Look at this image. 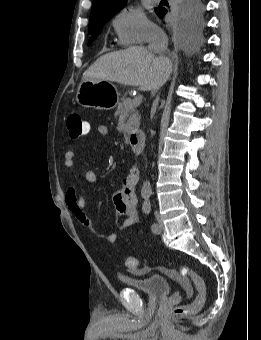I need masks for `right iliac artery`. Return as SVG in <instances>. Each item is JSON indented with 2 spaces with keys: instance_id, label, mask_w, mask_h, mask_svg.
Masks as SVG:
<instances>
[{
  "instance_id": "right-iliac-artery-1",
  "label": "right iliac artery",
  "mask_w": 261,
  "mask_h": 340,
  "mask_svg": "<svg viewBox=\"0 0 261 340\" xmlns=\"http://www.w3.org/2000/svg\"><path fill=\"white\" fill-rule=\"evenodd\" d=\"M142 196H143V198H147L148 195L147 194H143Z\"/></svg>"
}]
</instances>
